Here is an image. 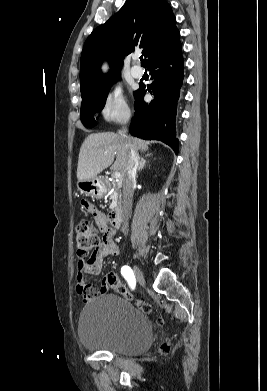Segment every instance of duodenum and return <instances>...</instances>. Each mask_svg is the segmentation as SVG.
<instances>
[{"instance_id": "410a0bca", "label": "duodenum", "mask_w": 267, "mask_h": 391, "mask_svg": "<svg viewBox=\"0 0 267 391\" xmlns=\"http://www.w3.org/2000/svg\"><path fill=\"white\" fill-rule=\"evenodd\" d=\"M123 219V212L120 208L113 209L107 218V225L110 231L116 232Z\"/></svg>"}]
</instances>
